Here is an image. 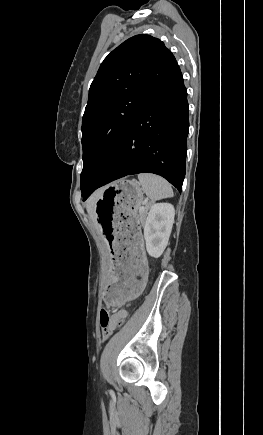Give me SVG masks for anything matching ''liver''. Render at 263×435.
<instances>
[{
	"label": "liver",
	"mask_w": 263,
	"mask_h": 435,
	"mask_svg": "<svg viewBox=\"0 0 263 435\" xmlns=\"http://www.w3.org/2000/svg\"><path fill=\"white\" fill-rule=\"evenodd\" d=\"M94 203H95V197H92L88 202H87V211L88 214L90 215V217L92 218V220L94 222H96V215H95V207H94Z\"/></svg>",
	"instance_id": "6515ba94"
}]
</instances>
